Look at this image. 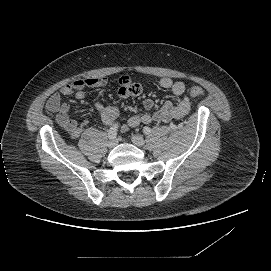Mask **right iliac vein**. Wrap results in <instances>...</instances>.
Returning a JSON list of instances; mask_svg holds the SVG:
<instances>
[{"label": "right iliac vein", "instance_id": "1", "mask_svg": "<svg viewBox=\"0 0 271 271\" xmlns=\"http://www.w3.org/2000/svg\"><path fill=\"white\" fill-rule=\"evenodd\" d=\"M108 147L109 148H113V147H115L116 145H117V139H110L109 141H108Z\"/></svg>", "mask_w": 271, "mask_h": 271}]
</instances>
